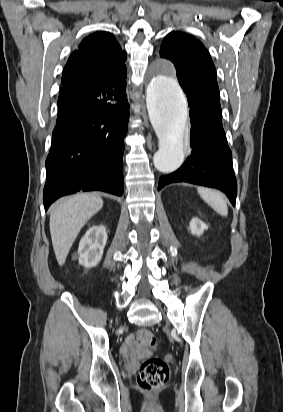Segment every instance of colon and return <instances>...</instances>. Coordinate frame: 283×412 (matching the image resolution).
Wrapping results in <instances>:
<instances>
[{
    "label": "colon",
    "mask_w": 283,
    "mask_h": 412,
    "mask_svg": "<svg viewBox=\"0 0 283 412\" xmlns=\"http://www.w3.org/2000/svg\"><path fill=\"white\" fill-rule=\"evenodd\" d=\"M136 340L138 344L149 349L157 346L154 334L145 328L137 331ZM169 375V367L163 359L159 357H149L141 363L137 381L142 389L155 391L168 381Z\"/></svg>",
    "instance_id": "colon-1"
}]
</instances>
